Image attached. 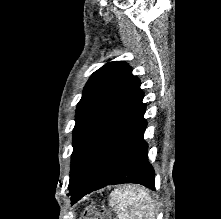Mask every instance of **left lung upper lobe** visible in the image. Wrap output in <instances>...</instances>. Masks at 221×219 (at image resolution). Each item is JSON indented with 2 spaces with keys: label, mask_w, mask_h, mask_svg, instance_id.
<instances>
[{
  "label": "left lung upper lobe",
  "mask_w": 221,
  "mask_h": 219,
  "mask_svg": "<svg viewBox=\"0 0 221 219\" xmlns=\"http://www.w3.org/2000/svg\"><path fill=\"white\" fill-rule=\"evenodd\" d=\"M141 95L139 79L123 61L109 62L91 75L76 108L70 192L97 144Z\"/></svg>",
  "instance_id": "1"
}]
</instances>
